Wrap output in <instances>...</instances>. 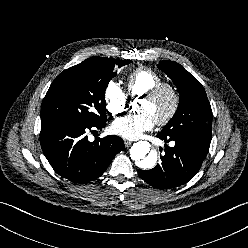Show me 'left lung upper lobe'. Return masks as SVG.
I'll return each instance as SVG.
<instances>
[{
	"mask_svg": "<svg viewBox=\"0 0 248 248\" xmlns=\"http://www.w3.org/2000/svg\"><path fill=\"white\" fill-rule=\"evenodd\" d=\"M157 67L180 92L177 111L161 132L211 142L212 110L201 83L177 62L160 61Z\"/></svg>",
	"mask_w": 248,
	"mask_h": 248,
	"instance_id": "obj_1",
	"label": "left lung upper lobe"
}]
</instances>
